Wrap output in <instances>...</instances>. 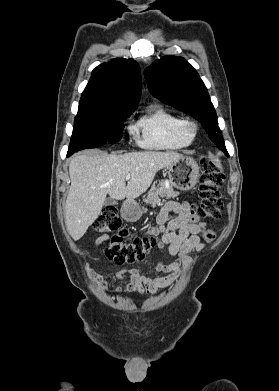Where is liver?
<instances>
[{"mask_svg": "<svg viewBox=\"0 0 279 391\" xmlns=\"http://www.w3.org/2000/svg\"><path fill=\"white\" fill-rule=\"evenodd\" d=\"M183 155L178 152H131L124 155L89 152L75 156L69 164L71 186L65 203V224L77 241L111 199L133 200L150 187L156 173ZM130 179L126 185V177Z\"/></svg>", "mask_w": 279, "mask_h": 391, "instance_id": "6515ba94", "label": "liver"}]
</instances>
